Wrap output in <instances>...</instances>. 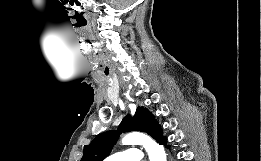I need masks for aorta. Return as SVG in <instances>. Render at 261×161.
<instances>
[{"label":"aorta","mask_w":261,"mask_h":161,"mask_svg":"<svg viewBox=\"0 0 261 161\" xmlns=\"http://www.w3.org/2000/svg\"><path fill=\"white\" fill-rule=\"evenodd\" d=\"M124 145H143L150 161H166V153L162 145L143 133H129L122 139Z\"/></svg>","instance_id":"obj_1"}]
</instances>
